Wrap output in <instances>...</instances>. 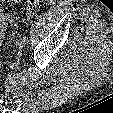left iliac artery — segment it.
Listing matches in <instances>:
<instances>
[{
  "instance_id": "left-iliac-artery-1",
  "label": "left iliac artery",
  "mask_w": 113,
  "mask_h": 113,
  "mask_svg": "<svg viewBox=\"0 0 113 113\" xmlns=\"http://www.w3.org/2000/svg\"><path fill=\"white\" fill-rule=\"evenodd\" d=\"M23 40L27 43L28 39L26 37H23Z\"/></svg>"
}]
</instances>
